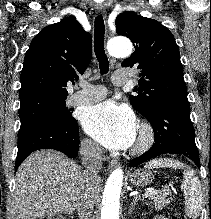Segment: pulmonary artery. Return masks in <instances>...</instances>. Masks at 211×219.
I'll return each instance as SVG.
<instances>
[{"label": "pulmonary artery", "instance_id": "obj_1", "mask_svg": "<svg viewBox=\"0 0 211 219\" xmlns=\"http://www.w3.org/2000/svg\"><path fill=\"white\" fill-rule=\"evenodd\" d=\"M129 74L127 71H116L113 75V82L122 85L128 82ZM82 90L72 94L68 103L71 105H89L103 99L107 95L105 87L100 85L82 84ZM92 90V91H90Z\"/></svg>", "mask_w": 211, "mask_h": 219}]
</instances>
